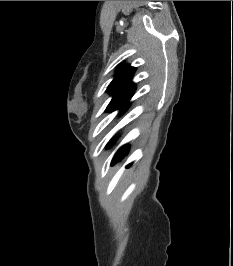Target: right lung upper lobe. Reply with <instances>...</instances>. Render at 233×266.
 <instances>
[{"label":"right lung upper lobe","mask_w":233,"mask_h":266,"mask_svg":"<svg viewBox=\"0 0 233 266\" xmlns=\"http://www.w3.org/2000/svg\"><path fill=\"white\" fill-rule=\"evenodd\" d=\"M136 68L129 65H121L113 81L107 88V92L112 95L133 94L135 91L134 83L131 81Z\"/></svg>","instance_id":"cb5924a9"}]
</instances>
